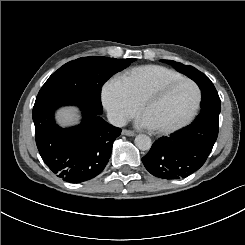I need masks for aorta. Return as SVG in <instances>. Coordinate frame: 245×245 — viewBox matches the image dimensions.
Masks as SVG:
<instances>
[{
	"mask_svg": "<svg viewBox=\"0 0 245 245\" xmlns=\"http://www.w3.org/2000/svg\"><path fill=\"white\" fill-rule=\"evenodd\" d=\"M134 143L136 147L142 151L149 150L152 145V141L149 136L144 134H139L135 137Z\"/></svg>",
	"mask_w": 245,
	"mask_h": 245,
	"instance_id": "obj_1",
	"label": "aorta"
}]
</instances>
